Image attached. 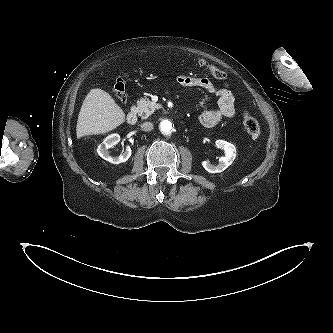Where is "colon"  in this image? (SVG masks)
<instances>
[{
    "label": "colon",
    "instance_id": "obj_1",
    "mask_svg": "<svg viewBox=\"0 0 333 333\" xmlns=\"http://www.w3.org/2000/svg\"><path fill=\"white\" fill-rule=\"evenodd\" d=\"M208 70L215 79L218 80L227 79V74L223 70L215 66L209 65ZM113 94L119 101L121 102L125 101L126 99L125 83L122 79H117L115 81L113 87ZM243 125L246 132L249 134V136L252 139L256 140L261 136V128L258 121L247 110L243 112Z\"/></svg>",
    "mask_w": 333,
    "mask_h": 333
}]
</instances>
